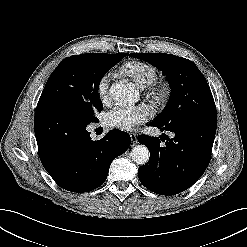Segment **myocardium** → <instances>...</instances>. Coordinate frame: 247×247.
I'll return each mask as SVG.
<instances>
[{
    "label": "myocardium",
    "mask_w": 247,
    "mask_h": 247,
    "mask_svg": "<svg viewBox=\"0 0 247 247\" xmlns=\"http://www.w3.org/2000/svg\"><path fill=\"white\" fill-rule=\"evenodd\" d=\"M151 95L156 102H164L169 98L170 88L166 84L152 89Z\"/></svg>",
    "instance_id": "f54148a6"
}]
</instances>
